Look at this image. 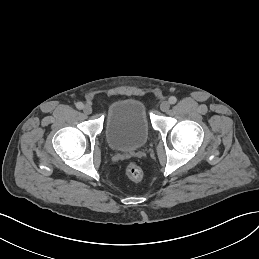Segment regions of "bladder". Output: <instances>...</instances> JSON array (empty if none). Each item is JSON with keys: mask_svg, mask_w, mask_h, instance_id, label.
Returning a JSON list of instances; mask_svg holds the SVG:
<instances>
[{"mask_svg": "<svg viewBox=\"0 0 259 259\" xmlns=\"http://www.w3.org/2000/svg\"><path fill=\"white\" fill-rule=\"evenodd\" d=\"M105 136L114 150L141 148L149 137V122L143 102L125 97L111 103L106 116Z\"/></svg>", "mask_w": 259, "mask_h": 259, "instance_id": "31cf9c89", "label": "bladder"}]
</instances>
